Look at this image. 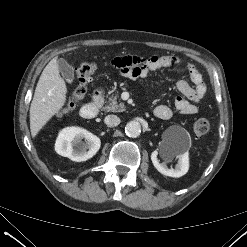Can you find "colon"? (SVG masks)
I'll return each mask as SVG.
<instances>
[{
    "label": "colon",
    "instance_id": "obj_1",
    "mask_svg": "<svg viewBox=\"0 0 247 247\" xmlns=\"http://www.w3.org/2000/svg\"><path fill=\"white\" fill-rule=\"evenodd\" d=\"M96 65L92 62H84L76 69V84L71 91L65 111L73 108L86 93V84L95 72ZM193 130L197 135H204L210 130V123L205 118H197L193 123Z\"/></svg>",
    "mask_w": 247,
    "mask_h": 247
}]
</instances>
